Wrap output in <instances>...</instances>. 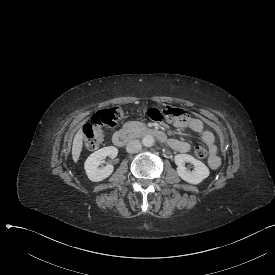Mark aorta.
<instances>
[{
  "label": "aorta",
  "mask_w": 275,
  "mask_h": 275,
  "mask_svg": "<svg viewBox=\"0 0 275 275\" xmlns=\"http://www.w3.org/2000/svg\"><path fill=\"white\" fill-rule=\"evenodd\" d=\"M142 144L145 147H151L154 144V138H153V136H151V135H145L142 138Z\"/></svg>",
  "instance_id": "aorta-1"
}]
</instances>
